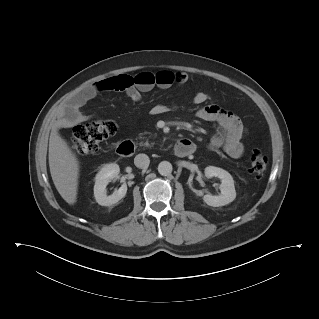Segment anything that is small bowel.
<instances>
[{
    "label": "small bowel",
    "mask_w": 319,
    "mask_h": 319,
    "mask_svg": "<svg viewBox=\"0 0 319 319\" xmlns=\"http://www.w3.org/2000/svg\"><path fill=\"white\" fill-rule=\"evenodd\" d=\"M153 74L154 83L150 85L132 84L125 86L127 82L133 79L128 75H113L97 81L95 84L85 88L63 107L54 127L56 129L70 127L91 119L92 115L84 113L82 107L99 93L125 91L131 100L138 102L141 100V92L148 91L155 85L162 89H167L174 83L184 84L188 79L183 72L160 71ZM208 100L209 95L203 91L197 92L193 97V102L197 105L204 104ZM166 111L167 107L164 105H156L151 110L155 115ZM196 116L200 120L213 122L217 125V131L208 144L210 149H222L232 158H240L244 154L242 140L246 134V129L237 115L218 105L209 104L200 107L196 112Z\"/></svg>",
    "instance_id": "obj_1"
}]
</instances>
